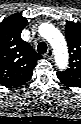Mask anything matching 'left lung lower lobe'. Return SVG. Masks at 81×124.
<instances>
[{
    "label": "left lung lower lobe",
    "instance_id": "obj_1",
    "mask_svg": "<svg viewBox=\"0 0 81 124\" xmlns=\"http://www.w3.org/2000/svg\"><path fill=\"white\" fill-rule=\"evenodd\" d=\"M57 77L59 78L60 82L62 84H64L66 87H72L70 84H68L66 81H64L60 76L57 75Z\"/></svg>",
    "mask_w": 81,
    "mask_h": 124
}]
</instances>
